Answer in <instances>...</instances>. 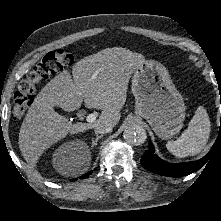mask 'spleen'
Returning a JSON list of instances; mask_svg holds the SVG:
<instances>
[{
	"instance_id": "spleen-1",
	"label": "spleen",
	"mask_w": 221,
	"mask_h": 221,
	"mask_svg": "<svg viewBox=\"0 0 221 221\" xmlns=\"http://www.w3.org/2000/svg\"><path fill=\"white\" fill-rule=\"evenodd\" d=\"M211 124L206 109L199 106L189 122L188 128L175 140L166 144L174 156L184 158L198 154L207 144Z\"/></svg>"
}]
</instances>
